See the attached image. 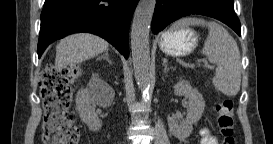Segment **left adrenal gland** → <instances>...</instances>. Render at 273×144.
<instances>
[{
	"label": "left adrenal gland",
	"mask_w": 273,
	"mask_h": 144,
	"mask_svg": "<svg viewBox=\"0 0 273 144\" xmlns=\"http://www.w3.org/2000/svg\"><path fill=\"white\" fill-rule=\"evenodd\" d=\"M162 65L164 66V73H166L167 71H169V69H172V67H169L167 65L166 59L163 60V64Z\"/></svg>",
	"instance_id": "1"
}]
</instances>
